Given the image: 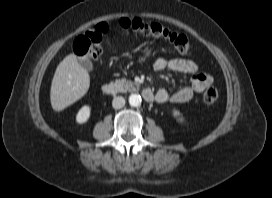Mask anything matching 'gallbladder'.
Here are the masks:
<instances>
[{"label": "gallbladder", "mask_w": 272, "mask_h": 198, "mask_svg": "<svg viewBox=\"0 0 272 198\" xmlns=\"http://www.w3.org/2000/svg\"><path fill=\"white\" fill-rule=\"evenodd\" d=\"M79 63L87 71H92L93 70V63L88 57H86V56L80 57L79 58Z\"/></svg>", "instance_id": "bac80fb5"}]
</instances>
